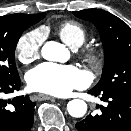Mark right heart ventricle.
<instances>
[{
    "label": "right heart ventricle",
    "instance_id": "right-heart-ventricle-1",
    "mask_svg": "<svg viewBox=\"0 0 131 131\" xmlns=\"http://www.w3.org/2000/svg\"><path fill=\"white\" fill-rule=\"evenodd\" d=\"M57 33L61 40L73 49L82 46L87 36L85 28L75 21L61 23L57 29Z\"/></svg>",
    "mask_w": 131,
    "mask_h": 131
}]
</instances>
